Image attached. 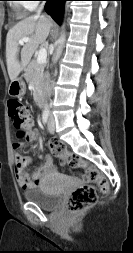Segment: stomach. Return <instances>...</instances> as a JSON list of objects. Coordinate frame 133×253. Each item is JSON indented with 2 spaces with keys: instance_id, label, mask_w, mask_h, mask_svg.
<instances>
[{
  "instance_id": "1",
  "label": "stomach",
  "mask_w": 133,
  "mask_h": 253,
  "mask_svg": "<svg viewBox=\"0 0 133 253\" xmlns=\"http://www.w3.org/2000/svg\"><path fill=\"white\" fill-rule=\"evenodd\" d=\"M26 86L22 78L13 80L8 89V93L13 97H21L25 94Z\"/></svg>"
}]
</instances>
